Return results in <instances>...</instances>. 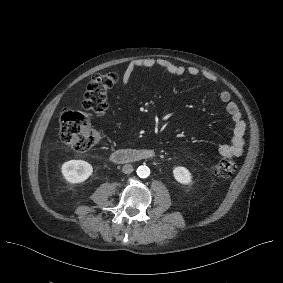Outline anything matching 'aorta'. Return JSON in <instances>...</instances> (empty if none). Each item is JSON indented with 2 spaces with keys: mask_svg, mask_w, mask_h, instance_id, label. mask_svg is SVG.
<instances>
[{
  "mask_svg": "<svg viewBox=\"0 0 283 283\" xmlns=\"http://www.w3.org/2000/svg\"><path fill=\"white\" fill-rule=\"evenodd\" d=\"M137 175L140 178H147L150 175V169L147 166H139L137 168Z\"/></svg>",
  "mask_w": 283,
  "mask_h": 283,
  "instance_id": "762f6f07",
  "label": "aorta"
}]
</instances>
